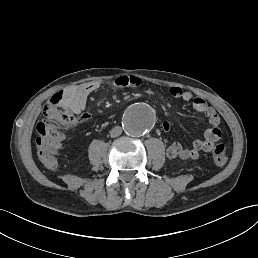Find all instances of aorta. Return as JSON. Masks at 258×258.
I'll list each match as a JSON object with an SVG mask.
<instances>
[{
    "instance_id": "762f6f07",
    "label": "aorta",
    "mask_w": 258,
    "mask_h": 258,
    "mask_svg": "<svg viewBox=\"0 0 258 258\" xmlns=\"http://www.w3.org/2000/svg\"><path fill=\"white\" fill-rule=\"evenodd\" d=\"M155 115L145 103L131 106L123 116V129L132 137L142 136L155 125Z\"/></svg>"
}]
</instances>
